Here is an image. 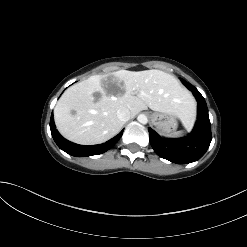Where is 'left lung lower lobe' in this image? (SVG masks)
<instances>
[{"label":"left lung lower lobe","mask_w":247,"mask_h":247,"mask_svg":"<svg viewBox=\"0 0 247 247\" xmlns=\"http://www.w3.org/2000/svg\"><path fill=\"white\" fill-rule=\"evenodd\" d=\"M183 84L192 91L198 102V118L196 125L187 137L166 139L149 128V140L156 154L173 163L186 164L200 159L209 148L212 140L211 124L204 97L191 84L181 79Z\"/></svg>","instance_id":"1"}]
</instances>
